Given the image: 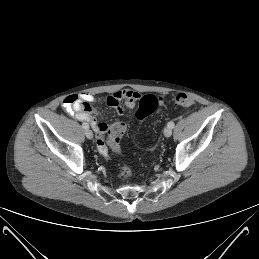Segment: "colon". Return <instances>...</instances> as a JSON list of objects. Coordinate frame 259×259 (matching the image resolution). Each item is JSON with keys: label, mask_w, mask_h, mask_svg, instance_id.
I'll list each match as a JSON object with an SVG mask.
<instances>
[{"label": "colon", "mask_w": 259, "mask_h": 259, "mask_svg": "<svg viewBox=\"0 0 259 259\" xmlns=\"http://www.w3.org/2000/svg\"><path fill=\"white\" fill-rule=\"evenodd\" d=\"M174 103L180 106L189 107L194 104V99L186 93H178L173 97ZM158 106V99L153 95L139 97L136 102L135 120L139 123L146 116L155 111ZM126 125L123 122L113 123L108 131V146L106 156L118 155L121 152V140L125 133ZM123 179H129L133 175V170L129 165H123L120 169Z\"/></svg>", "instance_id": "5ec220e1"}]
</instances>
